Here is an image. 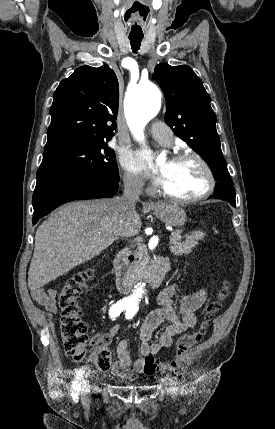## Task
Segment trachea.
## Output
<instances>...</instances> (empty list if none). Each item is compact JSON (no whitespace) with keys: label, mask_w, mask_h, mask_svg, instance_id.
<instances>
[{"label":"trachea","mask_w":275,"mask_h":429,"mask_svg":"<svg viewBox=\"0 0 275 429\" xmlns=\"http://www.w3.org/2000/svg\"><path fill=\"white\" fill-rule=\"evenodd\" d=\"M132 50L137 52L140 49L142 37H129Z\"/></svg>","instance_id":"1"}]
</instances>
